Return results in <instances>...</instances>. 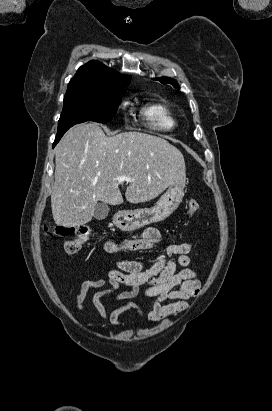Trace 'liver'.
<instances>
[{
	"instance_id": "obj_1",
	"label": "liver",
	"mask_w": 272,
	"mask_h": 411,
	"mask_svg": "<svg viewBox=\"0 0 272 411\" xmlns=\"http://www.w3.org/2000/svg\"><path fill=\"white\" fill-rule=\"evenodd\" d=\"M55 162L51 208L56 225L63 227L90 222L98 201L122 204L120 175L133 180L125 192L132 204L150 201L186 179L184 157L167 140L140 132L108 137L95 123L69 129L56 147Z\"/></svg>"
}]
</instances>
